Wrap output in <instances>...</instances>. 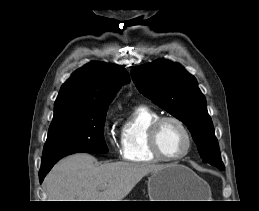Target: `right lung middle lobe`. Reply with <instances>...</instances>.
I'll list each match as a JSON object with an SVG mask.
<instances>
[{
  "label": "right lung middle lobe",
  "instance_id": "1",
  "mask_svg": "<svg viewBox=\"0 0 259 211\" xmlns=\"http://www.w3.org/2000/svg\"><path fill=\"white\" fill-rule=\"evenodd\" d=\"M107 109L75 108L53 117L41 164L78 152L106 153L103 130Z\"/></svg>",
  "mask_w": 259,
  "mask_h": 211
}]
</instances>
